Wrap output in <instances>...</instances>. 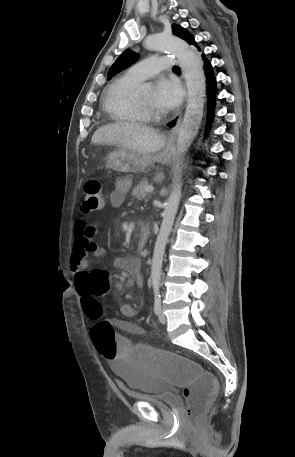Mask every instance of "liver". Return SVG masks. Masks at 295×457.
<instances>
[{"label":"liver","instance_id":"obj_1","mask_svg":"<svg viewBox=\"0 0 295 457\" xmlns=\"http://www.w3.org/2000/svg\"><path fill=\"white\" fill-rule=\"evenodd\" d=\"M91 143L114 145L138 154H150L164 147L165 138L150 127L137 123L118 122L97 129Z\"/></svg>","mask_w":295,"mask_h":457}]
</instances>
